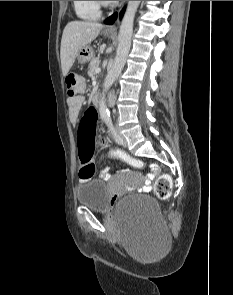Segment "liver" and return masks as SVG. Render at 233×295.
Segmentation results:
<instances>
[{"label": "liver", "mask_w": 233, "mask_h": 295, "mask_svg": "<svg viewBox=\"0 0 233 295\" xmlns=\"http://www.w3.org/2000/svg\"><path fill=\"white\" fill-rule=\"evenodd\" d=\"M102 28V24L89 21H72L65 26L60 48L61 68L64 76L73 66L79 50L90 44Z\"/></svg>", "instance_id": "obj_1"}]
</instances>
